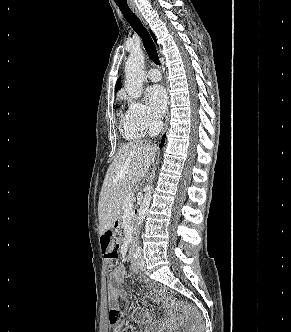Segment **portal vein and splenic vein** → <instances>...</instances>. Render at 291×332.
I'll return each mask as SVG.
<instances>
[{
    "label": "portal vein and splenic vein",
    "instance_id": "1",
    "mask_svg": "<svg viewBox=\"0 0 291 332\" xmlns=\"http://www.w3.org/2000/svg\"><path fill=\"white\" fill-rule=\"evenodd\" d=\"M134 193H129L124 201L125 206H131L133 204Z\"/></svg>",
    "mask_w": 291,
    "mask_h": 332
}]
</instances>
